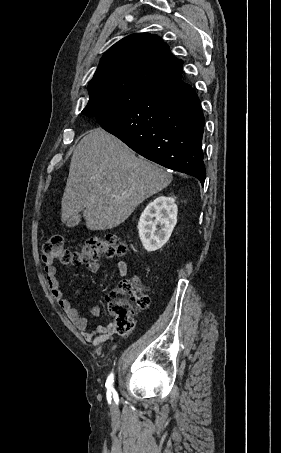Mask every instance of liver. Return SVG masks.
Masks as SVG:
<instances>
[{
	"instance_id": "liver-1",
	"label": "liver",
	"mask_w": 281,
	"mask_h": 453,
	"mask_svg": "<svg viewBox=\"0 0 281 453\" xmlns=\"http://www.w3.org/2000/svg\"><path fill=\"white\" fill-rule=\"evenodd\" d=\"M172 178L159 164L136 156L113 134L92 128L73 152L61 200V220L65 222L84 210L89 231L114 229L145 198L166 188Z\"/></svg>"
}]
</instances>
